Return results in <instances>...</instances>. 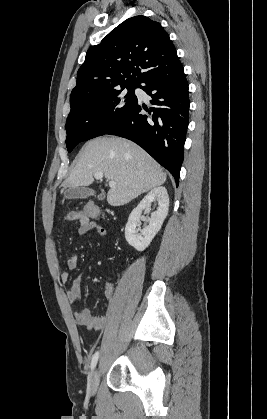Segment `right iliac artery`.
<instances>
[{
  "label": "right iliac artery",
  "instance_id": "82829eb1",
  "mask_svg": "<svg viewBox=\"0 0 267 419\" xmlns=\"http://www.w3.org/2000/svg\"><path fill=\"white\" fill-rule=\"evenodd\" d=\"M98 357H99V352H95V354L92 357V361H91V370H93L97 364L98 361Z\"/></svg>",
  "mask_w": 267,
  "mask_h": 419
}]
</instances>
